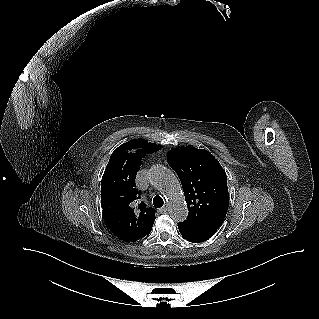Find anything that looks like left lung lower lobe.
<instances>
[{
    "label": "left lung lower lobe",
    "mask_w": 319,
    "mask_h": 319,
    "mask_svg": "<svg viewBox=\"0 0 319 319\" xmlns=\"http://www.w3.org/2000/svg\"><path fill=\"white\" fill-rule=\"evenodd\" d=\"M179 231L183 238L192 243H200L209 239L218 229V227L199 224L196 222L184 220L178 224Z\"/></svg>",
    "instance_id": "0a47b994"
}]
</instances>
